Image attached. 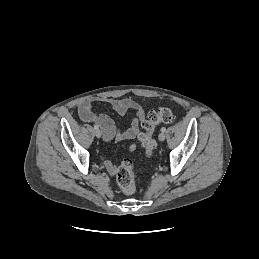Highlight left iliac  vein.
Returning <instances> with one entry per match:
<instances>
[{"instance_id": "4c4485c4", "label": "left iliac vein", "mask_w": 259, "mask_h": 259, "mask_svg": "<svg viewBox=\"0 0 259 259\" xmlns=\"http://www.w3.org/2000/svg\"><path fill=\"white\" fill-rule=\"evenodd\" d=\"M158 139H159L160 141H164V140H165V134H164V132H161V133L159 134Z\"/></svg>"}]
</instances>
